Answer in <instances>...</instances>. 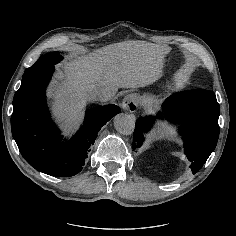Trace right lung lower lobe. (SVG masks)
<instances>
[{
    "instance_id": "right-lung-lower-lobe-1",
    "label": "right lung lower lobe",
    "mask_w": 236,
    "mask_h": 236,
    "mask_svg": "<svg viewBox=\"0 0 236 236\" xmlns=\"http://www.w3.org/2000/svg\"><path fill=\"white\" fill-rule=\"evenodd\" d=\"M54 65L22 79L13 99L11 130L24 159L35 169L52 176L76 175L85 165L97 133L120 108L110 104L86 112L83 126L67 143L52 122L45 102V89Z\"/></svg>"
}]
</instances>
